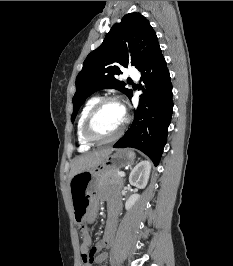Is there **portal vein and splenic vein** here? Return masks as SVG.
Masks as SVG:
<instances>
[{"label": "portal vein and splenic vein", "mask_w": 233, "mask_h": 266, "mask_svg": "<svg viewBox=\"0 0 233 266\" xmlns=\"http://www.w3.org/2000/svg\"><path fill=\"white\" fill-rule=\"evenodd\" d=\"M118 175H119L120 177H124V176H125V173L121 171V172L118 173Z\"/></svg>", "instance_id": "1"}]
</instances>
